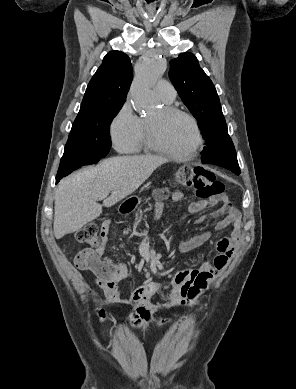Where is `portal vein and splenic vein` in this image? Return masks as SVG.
Masks as SVG:
<instances>
[{
    "mask_svg": "<svg viewBox=\"0 0 296 389\" xmlns=\"http://www.w3.org/2000/svg\"><path fill=\"white\" fill-rule=\"evenodd\" d=\"M105 197H107V194H104V195L100 196L99 199L101 200V199H103V198H105Z\"/></svg>",
    "mask_w": 296,
    "mask_h": 389,
    "instance_id": "1",
    "label": "portal vein and splenic vein"
}]
</instances>
